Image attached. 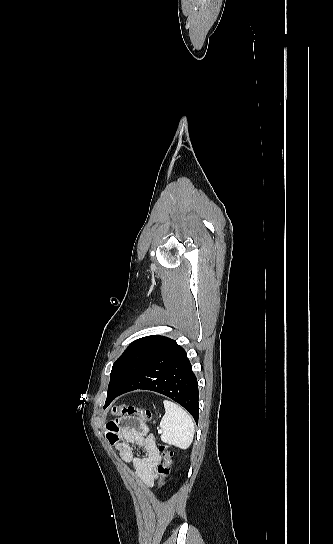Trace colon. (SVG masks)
Wrapping results in <instances>:
<instances>
[{"instance_id":"obj_1","label":"colon","mask_w":333,"mask_h":544,"mask_svg":"<svg viewBox=\"0 0 333 544\" xmlns=\"http://www.w3.org/2000/svg\"><path fill=\"white\" fill-rule=\"evenodd\" d=\"M112 413L117 416L136 417L144 423L155 424L156 420L152 412L148 409L139 408L133 405L120 404L112 408ZM159 452L162 454L163 462L156 467V475L158 477V487L161 488L165 484V480L170 473L171 457L173 452L166 444L158 446Z\"/></svg>"}]
</instances>
